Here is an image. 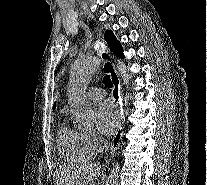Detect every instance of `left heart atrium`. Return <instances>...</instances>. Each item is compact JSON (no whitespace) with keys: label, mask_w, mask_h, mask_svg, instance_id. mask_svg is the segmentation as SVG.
<instances>
[{"label":"left heart atrium","mask_w":207,"mask_h":185,"mask_svg":"<svg viewBox=\"0 0 207 185\" xmlns=\"http://www.w3.org/2000/svg\"><path fill=\"white\" fill-rule=\"evenodd\" d=\"M95 123L104 135H111L119 123V111L111 101L100 103L95 109Z\"/></svg>","instance_id":"obj_1"}]
</instances>
